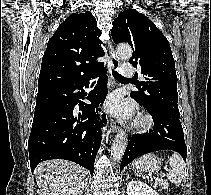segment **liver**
<instances>
[{
	"label": "liver",
	"mask_w": 211,
	"mask_h": 195,
	"mask_svg": "<svg viewBox=\"0 0 211 195\" xmlns=\"http://www.w3.org/2000/svg\"><path fill=\"white\" fill-rule=\"evenodd\" d=\"M34 174L40 195H82L88 184V171L67 160L41 162Z\"/></svg>",
	"instance_id": "obj_1"
}]
</instances>
